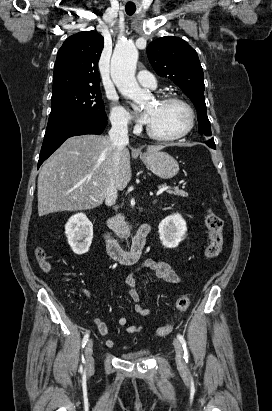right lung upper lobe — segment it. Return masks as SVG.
<instances>
[{"instance_id":"obj_1","label":"right lung upper lobe","mask_w":272,"mask_h":411,"mask_svg":"<svg viewBox=\"0 0 272 411\" xmlns=\"http://www.w3.org/2000/svg\"><path fill=\"white\" fill-rule=\"evenodd\" d=\"M104 38L83 31L67 38L57 53L52 95L71 88L100 86L97 71Z\"/></svg>"}]
</instances>
